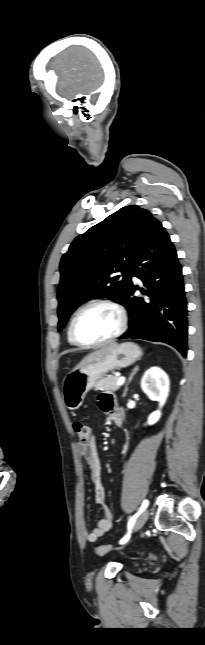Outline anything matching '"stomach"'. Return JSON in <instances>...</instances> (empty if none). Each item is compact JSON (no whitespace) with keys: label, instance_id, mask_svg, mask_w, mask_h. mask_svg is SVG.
<instances>
[{"label":"stomach","instance_id":"1","mask_svg":"<svg viewBox=\"0 0 205 645\" xmlns=\"http://www.w3.org/2000/svg\"><path fill=\"white\" fill-rule=\"evenodd\" d=\"M142 355L140 348L125 342L117 345L110 353L86 366L72 370L63 380V400L69 410H77L83 404L86 394L107 372L130 366Z\"/></svg>","mask_w":205,"mask_h":645}]
</instances>
